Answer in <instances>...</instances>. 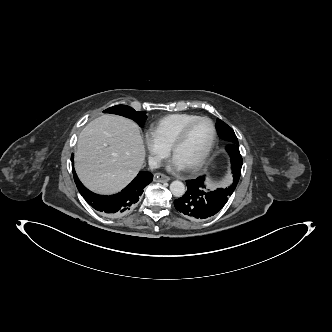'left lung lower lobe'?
<instances>
[{
    "label": "left lung lower lobe",
    "instance_id": "left-lung-lower-lobe-1",
    "mask_svg": "<svg viewBox=\"0 0 332 332\" xmlns=\"http://www.w3.org/2000/svg\"><path fill=\"white\" fill-rule=\"evenodd\" d=\"M239 165L242 156L237 145H231ZM204 176L187 180V192L174 201L175 208L187 218L203 221L218 213L232 195L226 189L207 191Z\"/></svg>",
    "mask_w": 332,
    "mask_h": 332
}]
</instances>
